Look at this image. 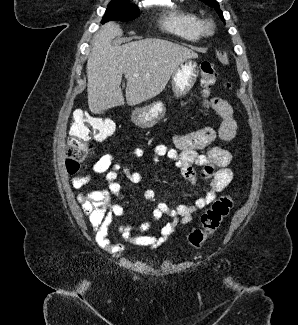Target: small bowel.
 <instances>
[{"label": "small bowel", "mask_w": 298, "mask_h": 325, "mask_svg": "<svg viewBox=\"0 0 298 325\" xmlns=\"http://www.w3.org/2000/svg\"><path fill=\"white\" fill-rule=\"evenodd\" d=\"M211 107L222 119L218 129L207 126L187 134H176L173 136V147L159 144L154 147L151 162L159 165L161 159L166 157L174 162L183 178L191 184L198 183V177L209 181V190L194 204H179L174 207L168 206L165 202H158L153 190L144 192L148 201L155 203L153 217L160 219L169 216L172 222L165 224L158 235L149 234L151 223L142 222L137 227L125 224L118 228L121 237L136 247L156 249L168 241L176 233L178 224H185L191 221L193 214L200 209L210 205L232 181L233 173L229 168L231 153L218 146H211L216 139L224 142L231 141L237 130V123L233 117V109L228 101L214 97L211 99ZM205 150V152H201ZM145 151L136 148L132 151L134 157H143ZM196 168H200L198 173ZM92 173L103 174L108 181L104 188L92 190L77 195V201L81 204L84 214L88 217L91 227L95 233L97 244L106 252L118 254L125 250L122 243L112 242L109 235V228L116 217L127 214L121 203L113 201L114 196H120V184L116 179L122 173L131 183L142 182L149 174L132 171L115 160L112 154H104L92 165ZM91 181V175L86 174L72 178V186L75 189L85 188Z\"/></svg>", "instance_id": "c3829d8e"}]
</instances>
